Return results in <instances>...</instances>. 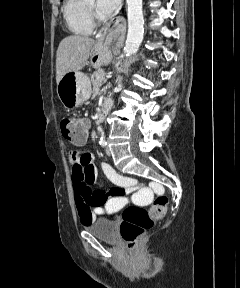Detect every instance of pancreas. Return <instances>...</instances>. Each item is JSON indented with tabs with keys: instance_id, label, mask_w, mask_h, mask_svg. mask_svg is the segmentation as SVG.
I'll list each match as a JSON object with an SVG mask.
<instances>
[{
	"instance_id": "obj_1",
	"label": "pancreas",
	"mask_w": 240,
	"mask_h": 288,
	"mask_svg": "<svg viewBox=\"0 0 240 288\" xmlns=\"http://www.w3.org/2000/svg\"><path fill=\"white\" fill-rule=\"evenodd\" d=\"M106 81L107 79L105 78V73L101 70H97L91 75V82L94 90H98L99 87Z\"/></svg>"
}]
</instances>
